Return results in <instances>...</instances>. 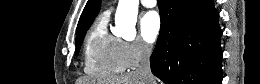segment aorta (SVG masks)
Returning a JSON list of instances; mask_svg holds the SVG:
<instances>
[{"mask_svg": "<svg viewBox=\"0 0 260 84\" xmlns=\"http://www.w3.org/2000/svg\"><path fill=\"white\" fill-rule=\"evenodd\" d=\"M138 0H119L115 14V34L125 40H133L136 36Z\"/></svg>", "mask_w": 260, "mask_h": 84, "instance_id": "aorta-1", "label": "aorta"}]
</instances>
